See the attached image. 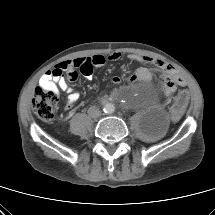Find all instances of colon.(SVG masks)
<instances>
[{"mask_svg":"<svg viewBox=\"0 0 215 215\" xmlns=\"http://www.w3.org/2000/svg\"><path fill=\"white\" fill-rule=\"evenodd\" d=\"M176 74L168 75L163 81V90L167 94H171L179 82ZM188 95L182 92L176 98L172 105V118L178 119L182 116L184 108L187 104ZM58 101L57 94L54 91L46 90L42 87L36 89L32 100L33 111L36 116L43 121H51L54 118V111Z\"/></svg>","mask_w":215,"mask_h":215,"instance_id":"1","label":"colon"}]
</instances>
